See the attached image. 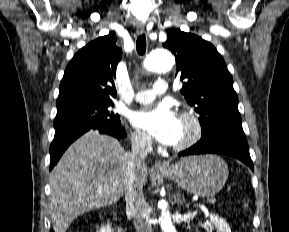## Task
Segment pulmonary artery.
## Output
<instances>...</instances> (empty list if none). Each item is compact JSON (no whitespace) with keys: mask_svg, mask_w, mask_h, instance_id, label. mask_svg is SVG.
<instances>
[{"mask_svg":"<svg viewBox=\"0 0 289 232\" xmlns=\"http://www.w3.org/2000/svg\"><path fill=\"white\" fill-rule=\"evenodd\" d=\"M168 85L164 79H158L151 90L139 91L135 95V101L138 103H150L157 95L164 94Z\"/></svg>","mask_w":289,"mask_h":232,"instance_id":"obj_1","label":"pulmonary artery"}]
</instances>
